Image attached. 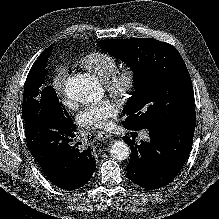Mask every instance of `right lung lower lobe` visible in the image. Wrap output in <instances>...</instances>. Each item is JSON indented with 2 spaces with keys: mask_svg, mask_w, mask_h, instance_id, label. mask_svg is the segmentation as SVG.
I'll return each instance as SVG.
<instances>
[{
  "mask_svg": "<svg viewBox=\"0 0 219 219\" xmlns=\"http://www.w3.org/2000/svg\"><path fill=\"white\" fill-rule=\"evenodd\" d=\"M24 121L30 152L55 186L73 190L90 180L96 169L92 149L76 147L82 143L75 144L78 133L73 123L45 111Z\"/></svg>",
  "mask_w": 219,
  "mask_h": 219,
  "instance_id": "right-lung-lower-lobe-1",
  "label": "right lung lower lobe"
}]
</instances>
